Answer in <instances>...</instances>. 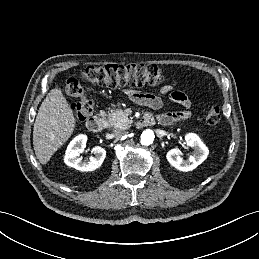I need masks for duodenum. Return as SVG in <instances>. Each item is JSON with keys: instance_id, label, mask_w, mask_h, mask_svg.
<instances>
[{"instance_id": "1", "label": "duodenum", "mask_w": 259, "mask_h": 259, "mask_svg": "<svg viewBox=\"0 0 259 259\" xmlns=\"http://www.w3.org/2000/svg\"><path fill=\"white\" fill-rule=\"evenodd\" d=\"M153 122V118L150 114H145L139 121L138 126L143 127L151 124ZM106 125V121L101 116H94L87 120L86 126L87 129L91 132L97 133L104 129Z\"/></svg>"}]
</instances>
